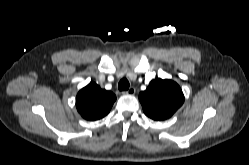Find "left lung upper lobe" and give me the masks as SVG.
<instances>
[{
	"instance_id": "left-lung-upper-lobe-1",
	"label": "left lung upper lobe",
	"mask_w": 249,
	"mask_h": 165,
	"mask_svg": "<svg viewBox=\"0 0 249 165\" xmlns=\"http://www.w3.org/2000/svg\"><path fill=\"white\" fill-rule=\"evenodd\" d=\"M144 113L160 121L170 118L184 102L180 86L169 79L156 78L139 94Z\"/></svg>"
}]
</instances>
